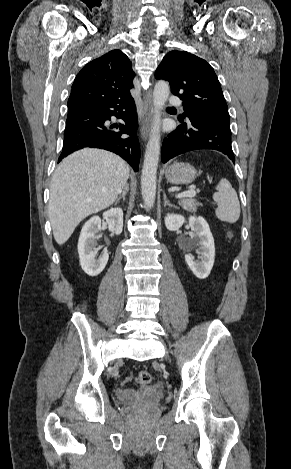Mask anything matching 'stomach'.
Here are the masks:
<instances>
[{"instance_id": "stomach-1", "label": "stomach", "mask_w": 291, "mask_h": 469, "mask_svg": "<svg viewBox=\"0 0 291 469\" xmlns=\"http://www.w3.org/2000/svg\"><path fill=\"white\" fill-rule=\"evenodd\" d=\"M197 176L196 169L189 163L175 162L165 169V177L172 184H189Z\"/></svg>"}]
</instances>
